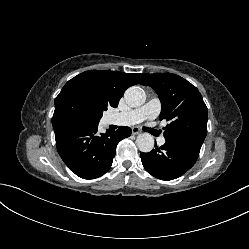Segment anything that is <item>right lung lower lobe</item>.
<instances>
[{
    "label": "right lung lower lobe",
    "mask_w": 249,
    "mask_h": 249,
    "mask_svg": "<svg viewBox=\"0 0 249 249\" xmlns=\"http://www.w3.org/2000/svg\"><path fill=\"white\" fill-rule=\"evenodd\" d=\"M56 147L69 169L84 179H94L111 167L116 146L131 135L129 127L98 134V124H86L71 118H52Z\"/></svg>",
    "instance_id": "right-lung-lower-lobe-1"
}]
</instances>
